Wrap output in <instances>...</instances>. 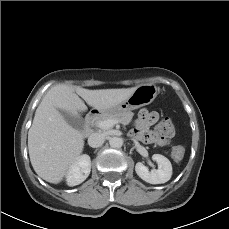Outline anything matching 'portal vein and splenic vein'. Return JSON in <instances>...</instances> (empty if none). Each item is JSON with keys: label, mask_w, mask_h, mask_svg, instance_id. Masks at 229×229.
<instances>
[{"label": "portal vein and splenic vein", "mask_w": 229, "mask_h": 229, "mask_svg": "<svg viewBox=\"0 0 229 229\" xmlns=\"http://www.w3.org/2000/svg\"><path fill=\"white\" fill-rule=\"evenodd\" d=\"M118 121L117 120H113V119H109V120H104V121H100L97 123V126L101 129H110L112 128L115 124H117Z\"/></svg>", "instance_id": "1"}]
</instances>
